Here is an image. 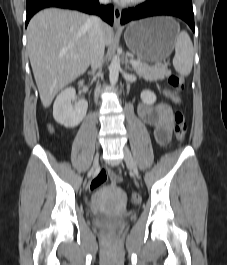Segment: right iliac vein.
<instances>
[{
	"mask_svg": "<svg viewBox=\"0 0 227 265\" xmlns=\"http://www.w3.org/2000/svg\"><path fill=\"white\" fill-rule=\"evenodd\" d=\"M97 166H98V154L95 156L91 172H93L95 168H97Z\"/></svg>",
	"mask_w": 227,
	"mask_h": 265,
	"instance_id": "63e3f726",
	"label": "right iliac vein"
}]
</instances>
